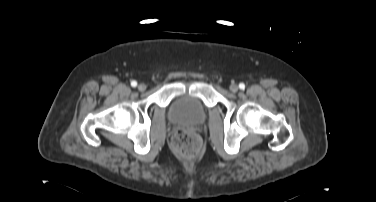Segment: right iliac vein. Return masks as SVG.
Listing matches in <instances>:
<instances>
[{
    "label": "right iliac vein",
    "mask_w": 376,
    "mask_h": 202,
    "mask_svg": "<svg viewBox=\"0 0 376 202\" xmlns=\"http://www.w3.org/2000/svg\"><path fill=\"white\" fill-rule=\"evenodd\" d=\"M145 89H146V85L145 84L141 83V84L138 85V90L139 91L143 92V91H145Z\"/></svg>",
    "instance_id": "right-iliac-vein-1"
}]
</instances>
